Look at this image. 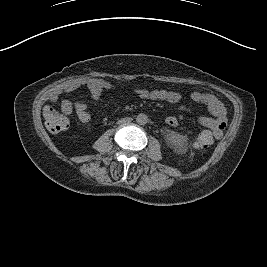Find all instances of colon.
I'll return each instance as SVG.
<instances>
[{
  "label": "colon",
  "instance_id": "1",
  "mask_svg": "<svg viewBox=\"0 0 267 267\" xmlns=\"http://www.w3.org/2000/svg\"><path fill=\"white\" fill-rule=\"evenodd\" d=\"M43 114L46 126L50 132L58 133L64 131L68 127L67 118L52 107L45 106ZM193 144L194 147L200 151H206L211 146L208 138L200 134L195 136Z\"/></svg>",
  "mask_w": 267,
  "mask_h": 267
}]
</instances>
